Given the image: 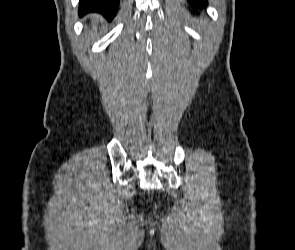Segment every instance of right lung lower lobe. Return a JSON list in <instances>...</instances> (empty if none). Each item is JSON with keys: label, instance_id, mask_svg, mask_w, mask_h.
<instances>
[{"label": "right lung lower lobe", "instance_id": "obj_1", "mask_svg": "<svg viewBox=\"0 0 295 250\" xmlns=\"http://www.w3.org/2000/svg\"><path fill=\"white\" fill-rule=\"evenodd\" d=\"M119 0H80L79 15L83 16L89 12L103 14L108 20H112L116 15Z\"/></svg>", "mask_w": 295, "mask_h": 250}]
</instances>
